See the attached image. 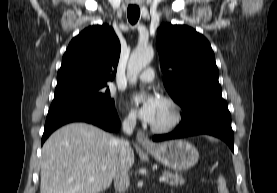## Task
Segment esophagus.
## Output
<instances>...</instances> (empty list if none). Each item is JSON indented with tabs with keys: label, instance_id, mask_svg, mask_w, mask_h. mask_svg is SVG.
I'll use <instances>...</instances> for the list:
<instances>
[{
	"label": "esophagus",
	"instance_id": "34e87169",
	"mask_svg": "<svg viewBox=\"0 0 277 193\" xmlns=\"http://www.w3.org/2000/svg\"><path fill=\"white\" fill-rule=\"evenodd\" d=\"M136 140L138 144L142 147L150 148L154 146L153 143L149 140V138L141 131L137 133Z\"/></svg>",
	"mask_w": 277,
	"mask_h": 193
}]
</instances>
